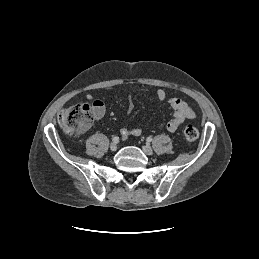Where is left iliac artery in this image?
Masks as SVG:
<instances>
[{
    "instance_id": "1",
    "label": "left iliac artery",
    "mask_w": 259,
    "mask_h": 259,
    "mask_svg": "<svg viewBox=\"0 0 259 259\" xmlns=\"http://www.w3.org/2000/svg\"><path fill=\"white\" fill-rule=\"evenodd\" d=\"M146 140H147V142H152L153 139H152V137L149 136Z\"/></svg>"
}]
</instances>
